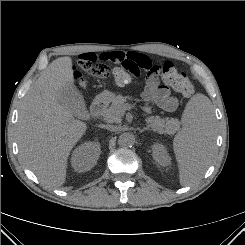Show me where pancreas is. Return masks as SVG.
<instances>
[{
	"instance_id": "1",
	"label": "pancreas",
	"mask_w": 245,
	"mask_h": 245,
	"mask_svg": "<svg viewBox=\"0 0 245 245\" xmlns=\"http://www.w3.org/2000/svg\"><path fill=\"white\" fill-rule=\"evenodd\" d=\"M128 97L117 95L113 98L110 107H108L103 113L104 121L108 123H120L121 117L124 112L130 108V105L126 103ZM144 111L147 114H151V107L146 105ZM148 127L153 131L160 134L167 133L173 134L180 128V121L178 119H161L159 116H149L146 120Z\"/></svg>"
}]
</instances>
